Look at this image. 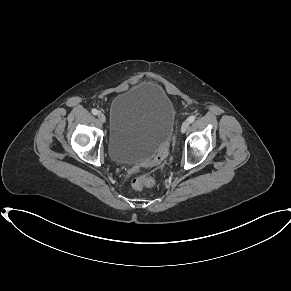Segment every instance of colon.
<instances>
[{"label": "colon", "mask_w": 291, "mask_h": 291, "mask_svg": "<svg viewBox=\"0 0 291 291\" xmlns=\"http://www.w3.org/2000/svg\"><path fill=\"white\" fill-rule=\"evenodd\" d=\"M168 152L169 143L159 148L154 158L150 162L146 163L144 167L148 168L160 164L166 159ZM154 183H155L154 177H152L151 175H147L133 179L131 184L135 190L141 191L145 187L152 186Z\"/></svg>", "instance_id": "colon-1"}]
</instances>
